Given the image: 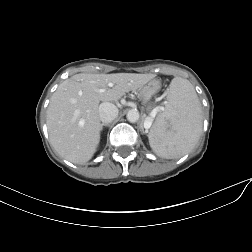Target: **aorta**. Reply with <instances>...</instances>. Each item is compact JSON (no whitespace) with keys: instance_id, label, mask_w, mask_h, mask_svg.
Instances as JSON below:
<instances>
[{"instance_id":"obj_1","label":"aorta","mask_w":252,"mask_h":252,"mask_svg":"<svg viewBox=\"0 0 252 252\" xmlns=\"http://www.w3.org/2000/svg\"><path fill=\"white\" fill-rule=\"evenodd\" d=\"M126 117L129 122L135 123L139 119V112L136 109H131L128 111Z\"/></svg>"}]
</instances>
